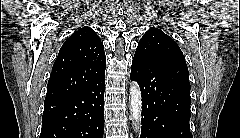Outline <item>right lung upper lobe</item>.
I'll use <instances>...</instances> for the list:
<instances>
[{"instance_id":"1","label":"right lung upper lobe","mask_w":240,"mask_h":138,"mask_svg":"<svg viewBox=\"0 0 240 138\" xmlns=\"http://www.w3.org/2000/svg\"><path fill=\"white\" fill-rule=\"evenodd\" d=\"M103 43L90 27L74 32L62 45L48 81L45 100L94 86L105 76Z\"/></svg>"}]
</instances>
